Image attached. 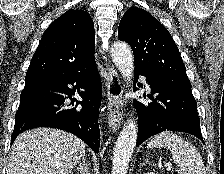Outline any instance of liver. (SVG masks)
Returning a JSON list of instances; mask_svg holds the SVG:
<instances>
[{"mask_svg":"<svg viewBox=\"0 0 224 174\" xmlns=\"http://www.w3.org/2000/svg\"><path fill=\"white\" fill-rule=\"evenodd\" d=\"M85 143L63 130L36 128L20 134L11 147L9 174H70L84 156Z\"/></svg>","mask_w":224,"mask_h":174,"instance_id":"6515ba94","label":"liver"}]
</instances>
